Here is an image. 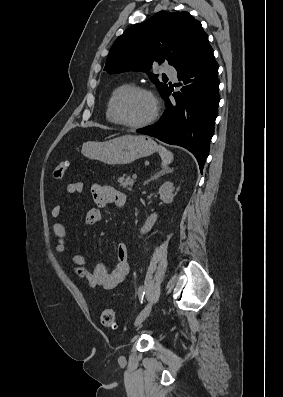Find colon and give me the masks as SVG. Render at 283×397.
Listing matches in <instances>:
<instances>
[{"mask_svg": "<svg viewBox=\"0 0 283 397\" xmlns=\"http://www.w3.org/2000/svg\"><path fill=\"white\" fill-rule=\"evenodd\" d=\"M69 168V162L63 161L56 165L53 169L52 175L54 179H62ZM101 323L105 327L115 328V312L111 308L105 309L101 314Z\"/></svg>", "mask_w": 283, "mask_h": 397, "instance_id": "obj_1", "label": "colon"}]
</instances>
